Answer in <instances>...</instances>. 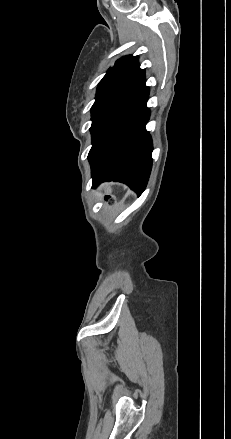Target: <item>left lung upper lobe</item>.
Here are the masks:
<instances>
[{
	"label": "left lung upper lobe",
	"instance_id": "5c2ea615",
	"mask_svg": "<svg viewBox=\"0 0 231 439\" xmlns=\"http://www.w3.org/2000/svg\"><path fill=\"white\" fill-rule=\"evenodd\" d=\"M145 81L138 56H125L116 61L98 84L95 102L91 108V128L123 98Z\"/></svg>",
	"mask_w": 231,
	"mask_h": 439
}]
</instances>
